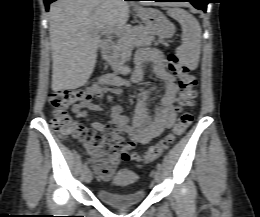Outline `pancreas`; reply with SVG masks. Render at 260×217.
<instances>
[{"instance_id":"1","label":"pancreas","mask_w":260,"mask_h":217,"mask_svg":"<svg viewBox=\"0 0 260 217\" xmlns=\"http://www.w3.org/2000/svg\"><path fill=\"white\" fill-rule=\"evenodd\" d=\"M155 42L154 34L143 26L126 28L119 32L116 51L125 58L134 47L150 46Z\"/></svg>"}]
</instances>
